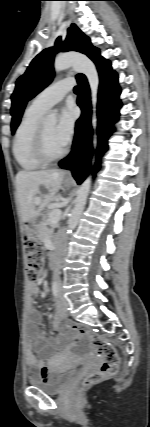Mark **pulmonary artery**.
Instances as JSON below:
<instances>
[{
	"label": "pulmonary artery",
	"instance_id": "obj_1",
	"mask_svg": "<svg viewBox=\"0 0 150 427\" xmlns=\"http://www.w3.org/2000/svg\"><path fill=\"white\" fill-rule=\"evenodd\" d=\"M73 86L74 80L72 78L58 81L37 95L32 101L31 106L34 109L45 113L51 107L59 103Z\"/></svg>",
	"mask_w": 150,
	"mask_h": 427
}]
</instances>
